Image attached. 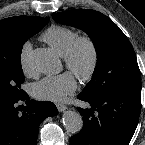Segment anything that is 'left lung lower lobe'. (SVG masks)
<instances>
[{"label":"left lung lower lobe","mask_w":145,"mask_h":145,"mask_svg":"<svg viewBox=\"0 0 145 145\" xmlns=\"http://www.w3.org/2000/svg\"><path fill=\"white\" fill-rule=\"evenodd\" d=\"M90 108H78L82 130L71 145H128L136 130L141 107V88L115 91L102 96L80 93Z\"/></svg>","instance_id":"obj_1"}]
</instances>
